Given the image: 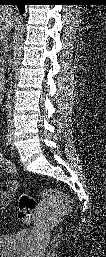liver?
<instances>
[{
  "instance_id": "obj_1",
  "label": "liver",
  "mask_w": 106,
  "mask_h": 257,
  "mask_svg": "<svg viewBox=\"0 0 106 257\" xmlns=\"http://www.w3.org/2000/svg\"><path fill=\"white\" fill-rule=\"evenodd\" d=\"M13 10L9 6H2L0 8V34L1 38H5L6 35L9 33L12 25Z\"/></svg>"
}]
</instances>
